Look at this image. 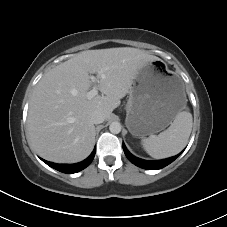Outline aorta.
I'll use <instances>...</instances> for the list:
<instances>
[{"label":"aorta","mask_w":227,"mask_h":227,"mask_svg":"<svg viewBox=\"0 0 227 227\" xmlns=\"http://www.w3.org/2000/svg\"><path fill=\"white\" fill-rule=\"evenodd\" d=\"M109 130L113 134H118L121 131V124L117 121L112 122L109 126Z\"/></svg>","instance_id":"obj_1"}]
</instances>
